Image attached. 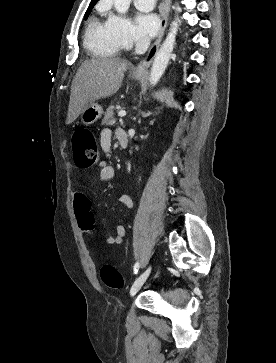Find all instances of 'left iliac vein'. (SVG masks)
<instances>
[{
    "instance_id": "left-iliac-vein-1",
    "label": "left iliac vein",
    "mask_w": 276,
    "mask_h": 363,
    "mask_svg": "<svg viewBox=\"0 0 276 363\" xmlns=\"http://www.w3.org/2000/svg\"><path fill=\"white\" fill-rule=\"evenodd\" d=\"M151 272V266H149L133 283L131 290H130V294L133 296L135 295L140 288L142 287V285L145 283V281L147 280L149 274Z\"/></svg>"
}]
</instances>
